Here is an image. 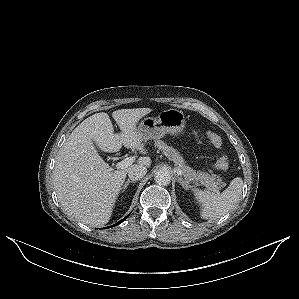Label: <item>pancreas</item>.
<instances>
[{
    "label": "pancreas",
    "mask_w": 299,
    "mask_h": 299,
    "mask_svg": "<svg viewBox=\"0 0 299 299\" xmlns=\"http://www.w3.org/2000/svg\"><path fill=\"white\" fill-rule=\"evenodd\" d=\"M155 146L162 151L170 160L175 163V166L182 170V174L186 181H200L202 185L207 187L210 191L218 192L221 186L224 184L222 179L215 174H209L201 170L195 171L189 165L186 164L183 157L176 149L168 146L165 142L158 140L155 142Z\"/></svg>",
    "instance_id": "pancreas-1"
}]
</instances>
